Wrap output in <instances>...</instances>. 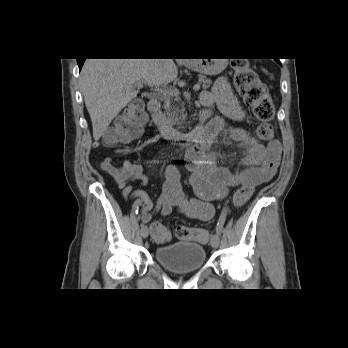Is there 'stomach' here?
<instances>
[{"instance_id":"obj_1","label":"stomach","mask_w":348,"mask_h":348,"mask_svg":"<svg viewBox=\"0 0 348 348\" xmlns=\"http://www.w3.org/2000/svg\"><path fill=\"white\" fill-rule=\"evenodd\" d=\"M227 64V59H194L189 67L204 76H214L220 74Z\"/></svg>"}]
</instances>
